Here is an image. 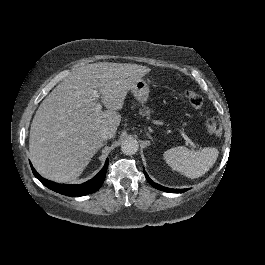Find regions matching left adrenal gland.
<instances>
[{"label":"left adrenal gland","mask_w":265,"mask_h":265,"mask_svg":"<svg viewBox=\"0 0 265 265\" xmlns=\"http://www.w3.org/2000/svg\"><path fill=\"white\" fill-rule=\"evenodd\" d=\"M146 135L148 136L149 139L153 140L152 136L148 132H146Z\"/></svg>","instance_id":"left-adrenal-gland-1"}]
</instances>
